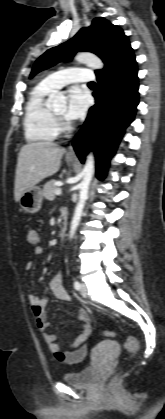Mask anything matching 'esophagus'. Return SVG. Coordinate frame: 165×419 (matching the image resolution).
<instances>
[{
	"mask_svg": "<svg viewBox=\"0 0 165 419\" xmlns=\"http://www.w3.org/2000/svg\"><path fill=\"white\" fill-rule=\"evenodd\" d=\"M67 156H69V157H75L76 156L72 146H70L69 150L67 151Z\"/></svg>",
	"mask_w": 165,
	"mask_h": 419,
	"instance_id": "34e87169",
	"label": "esophagus"
}]
</instances>
